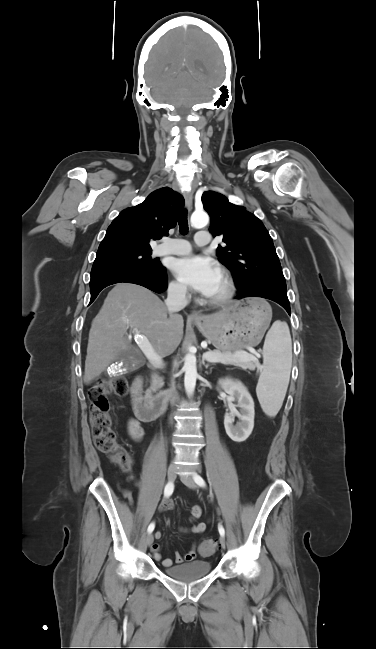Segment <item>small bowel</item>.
I'll list each match as a JSON object with an SVG mask.
<instances>
[{"label": "small bowel", "mask_w": 376, "mask_h": 649, "mask_svg": "<svg viewBox=\"0 0 376 649\" xmlns=\"http://www.w3.org/2000/svg\"><path fill=\"white\" fill-rule=\"evenodd\" d=\"M127 434L128 436L133 440V441H139L143 437V429L139 423L138 420L135 418H130L127 421V426H126ZM133 480H135L134 476L131 477ZM122 496L127 499L130 503V505H133V499H132V494L129 490L124 489L122 490ZM163 508L166 510H172L174 508V502L172 499H166L163 502ZM202 516V509L195 505L191 509V519L196 520ZM207 527L206 522H198L191 526L190 528H182L181 531L184 533H194V534H201L205 531ZM162 536L161 532L157 531L155 533V538L160 539ZM152 552H153V557L155 558L156 561H160L161 564L164 567H170L174 563L176 564H181L183 562H190L196 558V545L194 544L189 552L186 554H181L179 552L175 553L174 559L170 558H162L160 554V546L159 544L155 543L151 547Z\"/></svg>", "instance_id": "c3829d8e"}]
</instances>
